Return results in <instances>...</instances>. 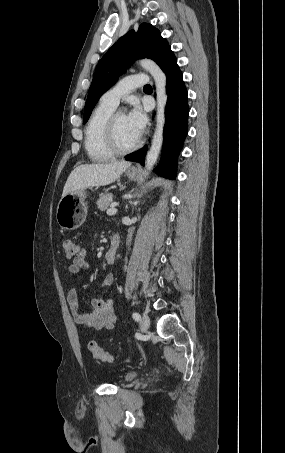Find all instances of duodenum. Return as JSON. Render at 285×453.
<instances>
[{
  "instance_id": "410a0bca",
  "label": "duodenum",
  "mask_w": 285,
  "mask_h": 453,
  "mask_svg": "<svg viewBox=\"0 0 285 453\" xmlns=\"http://www.w3.org/2000/svg\"><path fill=\"white\" fill-rule=\"evenodd\" d=\"M118 244H119L118 239L116 237H114L111 242L110 248L107 250V252L104 255V259H105L106 263L112 264L114 262L115 257H116V252L118 249Z\"/></svg>"
}]
</instances>
